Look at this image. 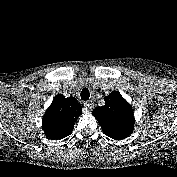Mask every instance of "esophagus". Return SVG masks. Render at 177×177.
<instances>
[{"mask_svg": "<svg viewBox=\"0 0 177 177\" xmlns=\"http://www.w3.org/2000/svg\"><path fill=\"white\" fill-rule=\"evenodd\" d=\"M94 107V103L93 101L89 100V101H86L84 103V109L86 110V112H88L90 109H92Z\"/></svg>", "mask_w": 177, "mask_h": 177, "instance_id": "34e87169", "label": "esophagus"}]
</instances>
